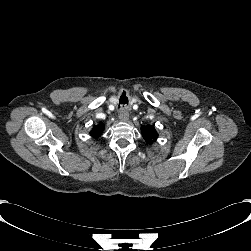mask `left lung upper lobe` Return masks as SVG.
Listing matches in <instances>:
<instances>
[{
  "label": "left lung upper lobe",
  "mask_w": 251,
  "mask_h": 251,
  "mask_svg": "<svg viewBox=\"0 0 251 251\" xmlns=\"http://www.w3.org/2000/svg\"><path fill=\"white\" fill-rule=\"evenodd\" d=\"M141 132H142V135H143L144 139L148 143H152L158 137V134H157L154 126H151V125L142 126Z\"/></svg>",
  "instance_id": "1"
}]
</instances>
